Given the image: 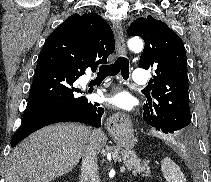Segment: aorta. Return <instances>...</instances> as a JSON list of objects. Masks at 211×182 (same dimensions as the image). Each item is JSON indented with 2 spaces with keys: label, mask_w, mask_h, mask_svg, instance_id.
Wrapping results in <instances>:
<instances>
[{
  "label": "aorta",
  "mask_w": 211,
  "mask_h": 182,
  "mask_svg": "<svg viewBox=\"0 0 211 182\" xmlns=\"http://www.w3.org/2000/svg\"><path fill=\"white\" fill-rule=\"evenodd\" d=\"M128 47L131 51L140 52L143 49V41L138 37L131 38L128 40Z\"/></svg>",
  "instance_id": "aorta-1"
}]
</instances>
